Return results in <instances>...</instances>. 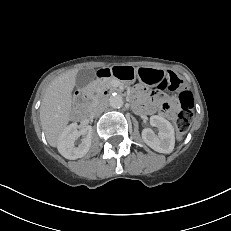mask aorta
I'll list each match as a JSON object with an SVG mask.
<instances>
[{
    "mask_svg": "<svg viewBox=\"0 0 231 231\" xmlns=\"http://www.w3.org/2000/svg\"><path fill=\"white\" fill-rule=\"evenodd\" d=\"M109 104L112 108L119 109L123 106L122 96L119 94H113L109 98Z\"/></svg>",
    "mask_w": 231,
    "mask_h": 231,
    "instance_id": "aorta-1",
    "label": "aorta"
}]
</instances>
